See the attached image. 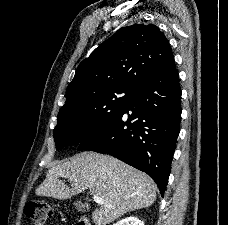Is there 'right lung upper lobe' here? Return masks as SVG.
<instances>
[{"label": "right lung upper lobe", "instance_id": "obj_1", "mask_svg": "<svg viewBox=\"0 0 228 225\" xmlns=\"http://www.w3.org/2000/svg\"><path fill=\"white\" fill-rule=\"evenodd\" d=\"M172 58L170 44L157 26L122 27L80 63L67 88L65 104L112 85L135 89Z\"/></svg>", "mask_w": 228, "mask_h": 225}]
</instances>
